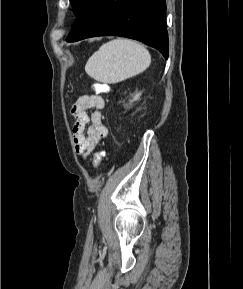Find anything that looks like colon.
Here are the masks:
<instances>
[{"instance_id":"5ec220e1","label":"colon","mask_w":243,"mask_h":289,"mask_svg":"<svg viewBox=\"0 0 243 289\" xmlns=\"http://www.w3.org/2000/svg\"><path fill=\"white\" fill-rule=\"evenodd\" d=\"M93 88L98 92H106L107 91V86L104 84H101V83L94 84ZM103 156H104V151H98L97 153H95L94 159H93L94 167H96V168L99 167Z\"/></svg>"}]
</instances>
